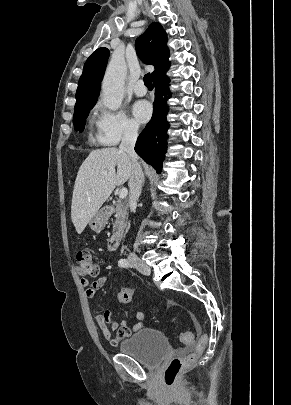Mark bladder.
I'll return each mask as SVG.
<instances>
[{
	"mask_svg": "<svg viewBox=\"0 0 291 405\" xmlns=\"http://www.w3.org/2000/svg\"><path fill=\"white\" fill-rule=\"evenodd\" d=\"M119 351L145 367L154 368L168 354L169 342L160 330L143 328L123 340L119 345Z\"/></svg>",
	"mask_w": 291,
	"mask_h": 405,
	"instance_id": "1",
	"label": "bladder"
}]
</instances>
